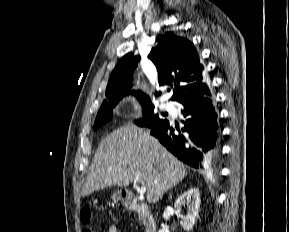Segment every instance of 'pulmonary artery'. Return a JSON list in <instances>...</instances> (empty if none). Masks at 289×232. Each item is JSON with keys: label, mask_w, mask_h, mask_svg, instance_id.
I'll return each instance as SVG.
<instances>
[{"label": "pulmonary artery", "mask_w": 289, "mask_h": 232, "mask_svg": "<svg viewBox=\"0 0 289 232\" xmlns=\"http://www.w3.org/2000/svg\"><path fill=\"white\" fill-rule=\"evenodd\" d=\"M163 107H164L165 110H167L169 112H174L175 111V107H174L173 103L170 102V101L165 102L163 104Z\"/></svg>", "instance_id": "e3ab8cb5"}]
</instances>
